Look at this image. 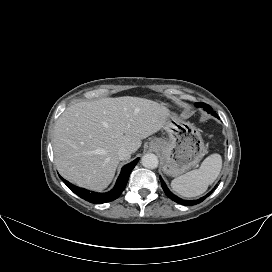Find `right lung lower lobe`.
I'll return each mask as SVG.
<instances>
[{"label":"right lung lower lobe","mask_w":272,"mask_h":272,"mask_svg":"<svg viewBox=\"0 0 272 272\" xmlns=\"http://www.w3.org/2000/svg\"><path fill=\"white\" fill-rule=\"evenodd\" d=\"M138 160L139 158L135 159L134 161L125 165L122 168L114 188L106 193H97L93 191H88L86 189L79 188L72 185L70 182L63 179L62 177L60 178L68 186V188L72 190L79 197L95 204L106 203V202H110L117 199L120 196V194L123 192L128 182L129 175L131 171L133 170V168L135 167V165L137 164Z\"/></svg>","instance_id":"1"}]
</instances>
